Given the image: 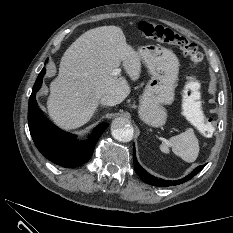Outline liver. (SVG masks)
<instances>
[{"mask_svg": "<svg viewBox=\"0 0 233 233\" xmlns=\"http://www.w3.org/2000/svg\"><path fill=\"white\" fill-rule=\"evenodd\" d=\"M141 58L126 42L117 26H101L86 31L65 51L59 74L50 85L48 113L59 127L78 128L93 116L104 95H112L116 104L125 100L130 87L125 78L112 71L123 63L133 81L141 74Z\"/></svg>", "mask_w": 233, "mask_h": 233, "instance_id": "liver-1", "label": "liver"}]
</instances>
